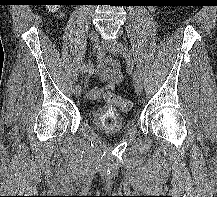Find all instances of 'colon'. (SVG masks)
<instances>
[{
  "label": "colon",
  "instance_id": "colon-1",
  "mask_svg": "<svg viewBox=\"0 0 217 197\" xmlns=\"http://www.w3.org/2000/svg\"><path fill=\"white\" fill-rule=\"evenodd\" d=\"M52 9H55V6H51ZM104 99L110 104V105H116L119 107V109L123 112H128L132 109V103L130 100L121 98L118 95H115L111 92H105L104 93Z\"/></svg>",
  "mask_w": 217,
  "mask_h": 197
}]
</instances>
